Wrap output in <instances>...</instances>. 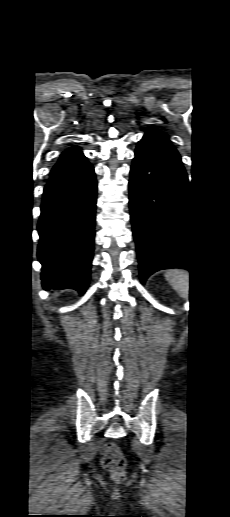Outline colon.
I'll return each mask as SVG.
<instances>
[{
    "instance_id": "obj_1",
    "label": "colon",
    "mask_w": 230,
    "mask_h": 517,
    "mask_svg": "<svg viewBox=\"0 0 230 517\" xmlns=\"http://www.w3.org/2000/svg\"><path fill=\"white\" fill-rule=\"evenodd\" d=\"M101 463L115 478H123L126 461L117 444L107 443L103 446L101 450Z\"/></svg>"
}]
</instances>
